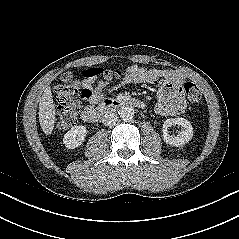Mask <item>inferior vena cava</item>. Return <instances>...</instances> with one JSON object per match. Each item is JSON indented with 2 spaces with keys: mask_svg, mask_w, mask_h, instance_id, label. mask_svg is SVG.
<instances>
[{
  "mask_svg": "<svg viewBox=\"0 0 239 239\" xmlns=\"http://www.w3.org/2000/svg\"><path fill=\"white\" fill-rule=\"evenodd\" d=\"M118 121V115L113 112L106 113L102 118V123L105 126H113Z\"/></svg>",
  "mask_w": 239,
  "mask_h": 239,
  "instance_id": "1",
  "label": "inferior vena cava"
}]
</instances>
